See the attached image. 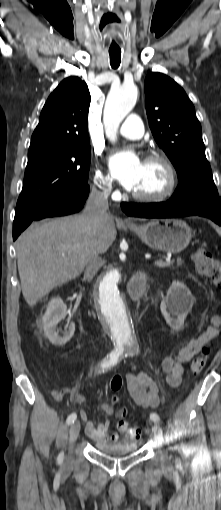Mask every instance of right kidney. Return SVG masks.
Returning <instances> with one entry per match:
<instances>
[{
	"label": "right kidney",
	"instance_id": "right-kidney-1",
	"mask_svg": "<svg viewBox=\"0 0 221 510\" xmlns=\"http://www.w3.org/2000/svg\"><path fill=\"white\" fill-rule=\"evenodd\" d=\"M67 315V307L59 297L52 298L42 317V326L45 336L55 346H63L73 337L75 324L70 322L63 336L59 335L58 323Z\"/></svg>",
	"mask_w": 221,
	"mask_h": 510
}]
</instances>
